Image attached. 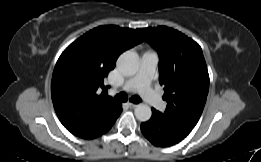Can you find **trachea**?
Returning a JSON list of instances; mask_svg holds the SVG:
<instances>
[{"mask_svg":"<svg viewBox=\"0 0 261 162\" xmlns=\"http://www.w3.org/2000/svg\"><path fill=\"white\" fill-rule=\"evenodd\" d=\"M115 99L119 102H126L128 100V97H127L126 93L121 92L115 96ZM130 101L137 104V103L141 102L142 100L139 96H132Z\"/></svg>","mask_w":261,"mask_h":162,"instance_id":"obj_1","label":"trachea"}]
</instances>
